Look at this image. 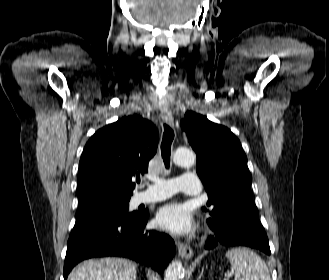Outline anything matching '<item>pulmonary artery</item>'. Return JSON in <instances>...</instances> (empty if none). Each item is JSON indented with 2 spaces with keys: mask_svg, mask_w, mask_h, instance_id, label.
<instances>
[{
  "mask_svg": "<svg viewBox=\"0 0 329 280\" xmlns=\"http://www.w3.org/2000/svg\"><path fill=\"white\" fill-rule=\"evenodd\" d=\"M177 190L188 196H196L200 191V181L194 173H184L172 180L155 179L150 189L137 194L138 203H152L171 197Z\"/></svg>",
  "mask_w": 329,
  "mask_h": 280,
  "instance_id": "obj_1",
  "label": "pulmonary artery"
}]
</instances>
